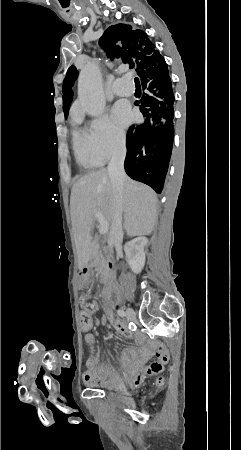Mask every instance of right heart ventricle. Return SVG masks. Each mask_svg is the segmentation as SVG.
<instances>
[{"label":"right heart ventricle","mask_w":241,"mask_h":450,"mask_svg":"<svg viewBox=\"0 0 241 450\" xmlns=\"http://www.w3.org/2000/svg\"><path fill=\"white\" fill-rule=\"evenodd\" d=\"M89 127H92V124L84 125L83 128H80L79 125H77L73 128L72 131V141L75 157L77 159V162L85 168L101 166L104 163V161L100 160L93 153H90L89 150H87L86 131Z\"/></svg>","instance_id":"1"}]
</instances>
